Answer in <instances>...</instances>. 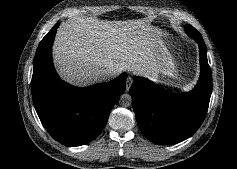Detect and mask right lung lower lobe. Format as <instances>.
I'll return each mask as SVG.
<instances>
[{"label":"right lung lower lobe","mask_w":237,"mask_h":169,"mask_svg":"<svg viewBox=\"0 0 237 169\" xmlns=\"http://www.w3.org/2000/svg\"><path fill=\"white\" fill-rule=\"evenodd\" d=\"M57 23L40 42L32 77V97L37 114L58 142L80 146L95 139L110 111L125 91L126 73L107 83L78 88L62 81L52 62Z\"/></svg>","instance_id":"98d812e1"}]
</instances>
